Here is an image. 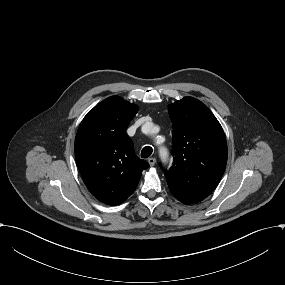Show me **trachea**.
I'll return each instance as SVG.
<instances>
[{
    "instance_id": "3493384b",
    "label": "trachea",
    "mask_w": 285,
    "mask_h": 285,
    "mask_svg": "<svg viewBox=\"0 0 285 285\" xmlns=\"http://www.w3.org/2000/svg\"><path fill=\"white\" fill-rule=\"evenodd\" d=\"M152 154V148L150 146H146L141 151L142 158H148Z\"/></svg>"
}]
</instances>
